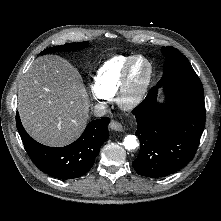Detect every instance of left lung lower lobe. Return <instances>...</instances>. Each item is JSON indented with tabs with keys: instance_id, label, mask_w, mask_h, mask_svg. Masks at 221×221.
Returning <instances> with one entry per match:
<instances>
[{
	"instance_id": "0a47b994",
	"label": "left lung lower lobe",
	"mask_w": 221,
	"mask_h": 221,
	"mask_svg": "<svg viewBox=\"0 0 221 221\" xmlns=\"http://www.w3.org/2000/svg\"><path fill=\"white\" fill-rule=\"evenodd\" d=\"M166 103L157 102L158 87H152L132 113L140 153L133 166L140 175L168 176L194 157L205 126L202 83L196 74L185 75L163 86Z\"/></svg>"
}]
</instances>
